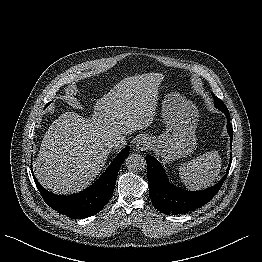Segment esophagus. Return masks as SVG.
<instances>
[{
  "instance_id": "34e87169",
  "label": "esophagus",
  "mask_w": 262,
  "mask_h": 262,
  "mask_svg": "<svg viewBox=\"0 0 262 262\" xmlns=\"http://www.w3.org/2000/svg\"><path fill=\"white\" fill-rule=\"evenodd\" d=\"M151 147V141L148 137H141L136 143L138 151H147Z\"/></svg>"
}]
</instances>
